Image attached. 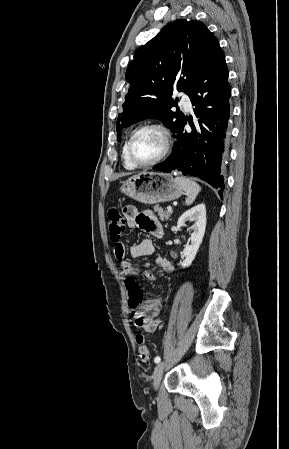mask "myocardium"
Segmentation results:
<instances>
[{"label": "myocardium", "mask_w": 289, "mask_h": 449, "mask_svg": "<svg viewBox=\"0 0 289 449\" xmlns=\"http://www.w3.org/2000/svg\"><path fill=\"white\" fill-rule=\"evenodd\" d=\"M145 130H154L160 134V136L162 138V150H161L160 154L155 159H153L149 162H146V163H142V162L137 161L133 156V142H134L136 136ZM171 145H172V135H171L170 130L162 123L148 122V123L142 124L139 127H137L130 135V138H129L128 144H127L128 157H129L130 161L136 167L153 166V165L159 163L160 161H162L168 155V153L171 149Z\"/></svg>", "instance_id": "obj_1"}]
</instances>
